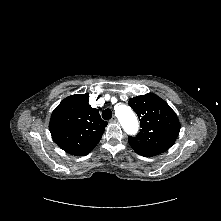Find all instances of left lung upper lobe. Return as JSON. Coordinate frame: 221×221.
<instances>
[{"mask_svg":"<svg viewBox=\"0 0 221 221\" xmlns=\"http://www.w3.org/2000/svg\"><path fill=\"white\" fill-rule=\"evenodd\" d=\"M129 105L140 120V133L129 136L133 150L142 156H155L167 151L176 141L180 123L171 107L154 93L129 99Z\"/></svg>","mask_w":221,"mask_h":221,"instance_id":"left-lung-upper-lobe-1","label":"left lung upper lobe"}]
</instances>
